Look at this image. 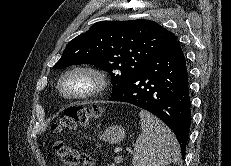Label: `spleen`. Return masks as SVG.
I'll use <instances>...</instances> for the list:
<instances>
[{
  "mask_svg": "<svg viewBox=\"0 0 231 166\" xmlns=\"http://www.w3.org/2000/svg\"><path fill=\"white\" fill-rule=\"evenodd\" d=\"M142 133L134 146L133 166H167L181 159L180 146L172 131L148 111L139 113Z\"/></svg>",
  "mask_w": 231,
  "mask_h": 166,
  "instance_id": "1",
  "label": "spleen"
}]
</instances>
